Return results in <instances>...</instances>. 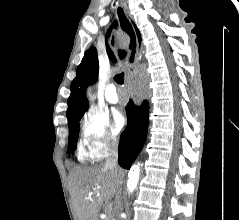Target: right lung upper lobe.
<instances>
[{
	"instance_id": "1",
	"label": "right lung upper lobe",
	"mask_w": 239,
	"mask_h": 220,
	"mask_svg": "<svg viewBox=\"0 0 239 220\" xmlns=\"http://www.w3.org/2000/svg\"><path fill=\"white\" fill-rule=\"evenodd\" d=\"M138 41H141V35L136 25L133 23ZM122 26V25H121ZM116 27V22L110 27L107 32V36L110 35L111 29ZM106 47L108 50V56L112 61H115V57L109 48L106 38ZM120 58H124L125 52L119 51ZM98 57L97 51L94 47L90 48L84 54V57L77 68L76 78L72 81L71 84V94L68 98V109H67V119L68 123H71L75 119L83 116L85 111L88 109L89 103L86 98V87L90 84H93L97 80L98 75Z\"/></svg>"
}]
</instances>
